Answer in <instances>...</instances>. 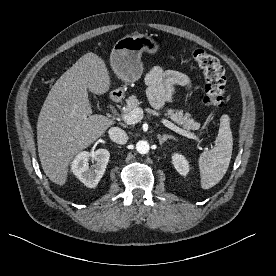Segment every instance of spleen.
Returning <instances> with one entry per match:
<instances>
[{"label":"spleen","instance_id":"3e777b00","mask_svg":"<svg viewBox=\"0 0 276 276\" xmlns=\"http://www.w3.org/2000/svg\"><path fill=\"white\" fill-rule=\"evenodd\" d=\"M233 138L230 118L222 115L220 127L215 140V147L204 151L199 157L201 187L209 189L215 186L226 174L232 156Z\"/></svg>","mask_w":276,"mask_h":276}]
</instances>
